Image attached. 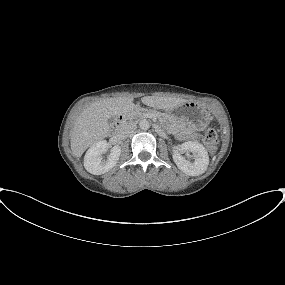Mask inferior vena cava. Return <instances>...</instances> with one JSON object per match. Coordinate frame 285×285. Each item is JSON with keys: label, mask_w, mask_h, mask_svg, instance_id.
Returning <instances> with one entry per match:
<instances>
[{"label": "inferior vena cava", "mask_w": 285, "mask_h": 285, "mask_svg": "<svg viewBox=\"0 0 285 285\" xmlns=\"http://www.w3.org/2000/svg\"><path fill=\"white\" fill-rule=\"evenodd\" d=\"M135 129L136 125L134 123H126L118 129V134L121 137L125 138L128 137L131 133H133Z\"/></svg>", "instance_id": "obj_1"}]
</instances>
